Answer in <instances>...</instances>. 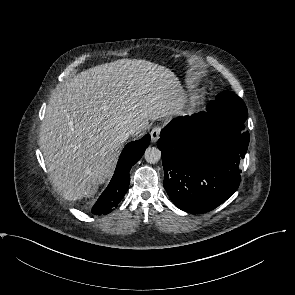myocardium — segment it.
<instances>
[{"label": "myocardium", "mask_w": 295, "mask_h": 295, "mask_svg": "<svg viewBox=\"0 0 295 295\" xmlns=\"http://www.w3.org/2000/svg\"><path fill=\"white\" fill-rule=\"evenodd\" d=\"M204 94L205 93H201L199 95H195L192 97L191 104H190L191 113L197 112L201 108L204 102Z\"/></svg>", "instance_id": "f54148a6"}]
</instances>
